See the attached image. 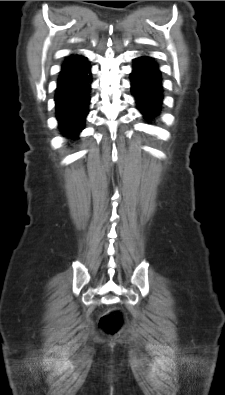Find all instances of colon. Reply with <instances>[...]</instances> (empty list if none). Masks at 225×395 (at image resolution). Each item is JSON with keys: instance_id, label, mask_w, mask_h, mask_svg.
I'll list each match as a JSON object with an SVG mask.
<instances>
[{"instance_id": "obj_1", "label": "colon", "mask_w": 225, "mask_h": 395, "mask_svg": "<svg viewBox=\"0 0 225 395\" xmlns=\"http://www.w3.org/2000/svg\"><path fill=\"white\" fill-rule=\"evenodd\" d=\"M125 323V313L120 308H112L100 314L99 328L106 335L117 334Z\"/></svg>"}]
</instances>
